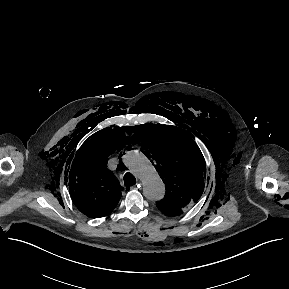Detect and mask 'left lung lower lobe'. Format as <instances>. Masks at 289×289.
Returning a JSON list of instances; mask_svg holds the SVG:
<instances>
[{
  "label": "left lung lower lobe",
  "instance_id": "obj_1",
  "mask_svg": "<svg viewBox=\"0 0 289 289\" xmlns=\"http://www.w3.org/2000/svg\"><path fill=\"white\" fill-rule=\"evenodd\" d=\"M165 215H167V216H173V215H169V214H165Z\"/></svg>",
  "mask_w": 289,
  "mask_h": 289
}]
</instances>
